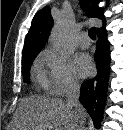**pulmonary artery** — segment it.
Listing matches in <instances>:
<instances>
[{
    "label": "pulmonary artery",
    "instance_id": "obj_1",
    "mask_svg": "<svg viewBox=\"0 0 123 130\" xmlns=\"http://www.w3.org/2000/svg\"><path fill=\"white\" fill-rule=\"evenodd\" d=\"M77 42L81 48H88L90 46V40H89L88 35L86 33L80 34L78 36Z\"/></svg>",
    "mask_w": 123,
    "mask_h": 130
}]
</instances>
